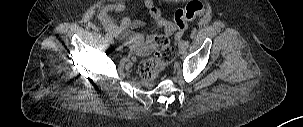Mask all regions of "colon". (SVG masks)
Segmentation results:
<instances>
[{
    "mask_svg": "<svg viewBox=\"0 0 303 127\" xmlns=\"http://www.w3.org/2000/svg\"><path fill=\"white\" fill-rule=\"evenodd\" d=\"M204 12L203 4L196 1L191 2L186 7L176 11L175 24L178 29L184 30L189 21L202 17ZM151 45L154 49L153 56L141 61L137 68L138 74L146 81H153L175 56L174 48L166 37H155Z\"/></svg>",
    "mask_w": 303,
    "mask_h": 127,
    "instance_id": "obj_1",
    "label": "colon"
}]
</instances>
